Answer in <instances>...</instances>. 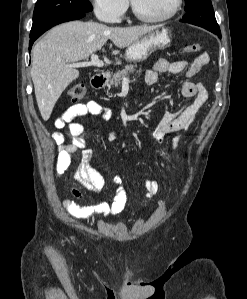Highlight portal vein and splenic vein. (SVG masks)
I'll use <instances>...</instances> for the list:
<instances>
[{
    "mask_svg": "<svg viewBox=\"0 0 247 299\" xmlns=\"http://www.w3.org/2000/svg\"><path fill=\"white\" fill-rule=\"evenodd\" d=\"M70 67H86V66H96V67H103L104 62L99 59V57L92 53L91 54V60L90 61H84V62H75L68 64ZM127 78H124L126 80Z\"/></svg>",
    "mask_w": 247,
    "mask_h": 299,
    "instance_id": "obj_1",
    "label": "portal vein and splenic vein"
}]
</instances>
